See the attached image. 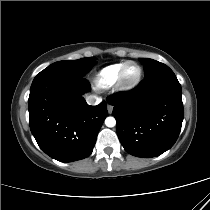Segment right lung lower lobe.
Wrapping results in <instances>:
<instances>
[{
  "label": "right lung lower lobe",
  "mask_w": 210,
  "mask_h": 210,
  "mask_svg": "<svg viewBox=\"0 0 210 210\" xmlns=\"http://www.w3.org/2000/svg\"><path fill=\"white\" fill-rule=\"evenodd\" d=\"M89 82L79 75H37L28 100L31 132L39 147L61 162L88 157L100 127L108 115L107 103H86L82 94Z\"/></svg>",
  "instance_id": "1"
}]
</instances>
